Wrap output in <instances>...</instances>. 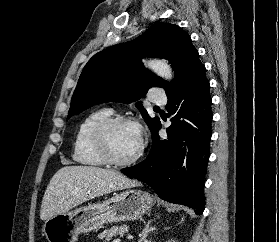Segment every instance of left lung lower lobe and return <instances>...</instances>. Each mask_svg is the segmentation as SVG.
<instances>
[{
    "label": "left lung lower lobe",
    "instance_id": "1",
    "mask_svg": "<svg viewBox=\"0 0 279 242\" xmlns=\"http://www.w3.org/2000/svg\"><path fill=\"white\" fill-rule=\"evenodd\" d=\"M205 66L198 52L189 61L179 83L167 94L166 109L172 124L160 138L159 122L152 132L148 157L121 169L125 175L151 186L160 198L184 204L201 215L204 211V178L210 156L212 100Z\"/></svg>",
    "mask_w": 279,
    "mask_h": 242
}]
</instances>
